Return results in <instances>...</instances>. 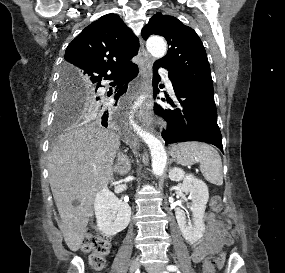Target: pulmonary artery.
Instances as JSON below:
<instances>
[{
	"mask_svg": "<svg viewBox=\"0 0 285 273\" xmlns=\"http://www.w3.org/2000/svg\"><path fill=\"white\" fill-rule=\"evenodd\" d=\"M159 73H160L161 76L164 77L167 89L169 90L170 93L173 94V92H174L173 91V86H172V83H171V81H170V79L168 77L167 71L165 69H160Z\"/></svg>",
	"mask_w": 285,
	"mask_h": 273,
	"instance_id": "pulmonary-artery-1",
	"label": "pulmonary artery"
}]
</instances>
